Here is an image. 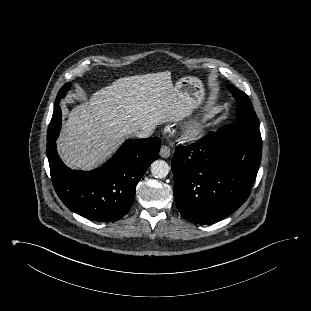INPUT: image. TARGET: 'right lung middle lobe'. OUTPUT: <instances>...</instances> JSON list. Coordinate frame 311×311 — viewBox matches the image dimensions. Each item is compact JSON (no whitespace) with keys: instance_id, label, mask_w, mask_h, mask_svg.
Masks as SVG:
<instances>
[{"instance_id":"1","label":"right lung middle lobe","mask_w":311,"mask_h":311,"mask_svg":"<svg viewBox=\"0 0 311 311\" xmlns=\"http://www.w3.org/2000/svg\"><path fill=\"white\" fill-rule=\"evenodd\" d=\"M71 86L70 83H66L63 85V87L59 90L58 95L56 97L55 105H58L61 98H63L66 94V92L69 90V87Z\"/></svg>"}]
</instances>
